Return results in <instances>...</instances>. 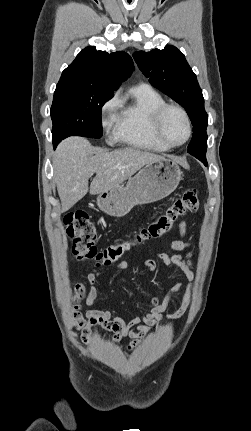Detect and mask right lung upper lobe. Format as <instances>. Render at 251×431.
<instances>
[{"instance_id":"1","label":"right lung upper lobe","mask_w":251,"mask_h":431,"mask_svg":"<svg viewBox=\"0 0 251 431\" xmlns=\"http://www.w3.org/2000/svg\"><path fill=\"white\" fill-rule=\"evenodd\" d=\"M134 70L124 51L107 53L89 46L62 72L58 84H73L113 94Z\"/></svg>"}]
</instances>
